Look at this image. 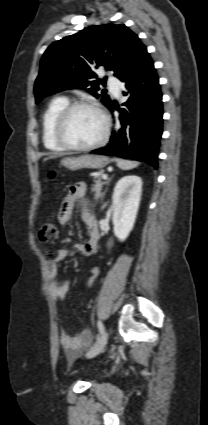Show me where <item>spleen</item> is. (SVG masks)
I'll use <instances>...</instances> for the list:
<instances>
[{"label": "spleen", "instance_id": "spleen-1", "mask_svg": "<svg viewBox=\"0 0 208 425\" xmlns=\"http://www.w3.org/2000/svg\"><path fill=\"white\" fill-rule=\"evenodd\" d=\"M116 163H117V166L122 170H130L139 165V163L136 161H130V160H125L120 158L116 159Z\"/></svg>", "mask_w": 208, "mask_h": 425}]
</instances>
